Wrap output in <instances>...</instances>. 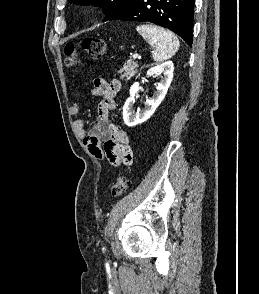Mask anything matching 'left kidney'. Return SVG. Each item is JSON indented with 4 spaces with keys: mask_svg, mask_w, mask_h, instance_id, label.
<instances>
[{
    "mask_svg": "<svg viewBox=\"0 0 259 294\" xmlns=\"http://www.w3.org/2000/svg\"><path fill=\"white\" fill-rule=\"evenodd\" d=\"M174 65L172 61H166L160 65L152 67L147 71V76L161 75L160 82L156 84V93L152 98H149L145 102L144 109H138L137 112L134 111L133 106L135 103V95L139 91V83L135 82L130 87V97L125 102L123 107V119L127 126H135L137 124L143 123L148 120L156 108L163 101L167 90L173 79Z\"/></svg>",
    "mask_w": 259,
    "mask_h": 294,
    "instance_id": "obj_1",
    "label": "left kidney"
}]
</instances>
